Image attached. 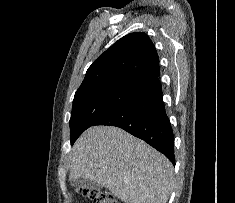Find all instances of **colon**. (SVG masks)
Returning a JSON list of instances; mask_svg holds the SVG:
<instances>
[{"mask_svg": "<svg viewBox=\"0 0 235 203\" xmlns=\"http://www.w3.org/2000/svg\"><path fill=\"white\" fill-rule=\"evenodd\" d=\"M85 196H88L93 203H119L116 198L104 189H80Z\"/></svg>", "mask_w": 235, "mask_h": 203, "instance_id": "colon-1", "label": "colon"}]
</instances>
